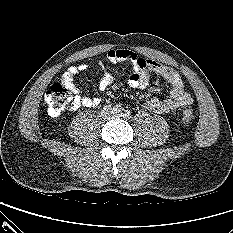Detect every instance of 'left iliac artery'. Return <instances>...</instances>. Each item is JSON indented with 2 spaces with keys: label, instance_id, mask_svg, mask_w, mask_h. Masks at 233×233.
Returning a JSON list of instances; mask_svg holds the SVG:
<instances>
[{
  "label": "left iliac artery",
  "instance_id": "obj_1",
  "mask_svg": "<svg viewBox=\"0 0 233 233\" xmlns=\"http://www.w3.org/2000/svg\"><path fill=\"white\" fill-rule=\"evenodd\" d=\"M130 115H131V113H130L129 110H125L124 113H123L124 117H129Z\"/></svg>",
  "mask_w": 233,
  "mask_h": 233
}]
</instances>
